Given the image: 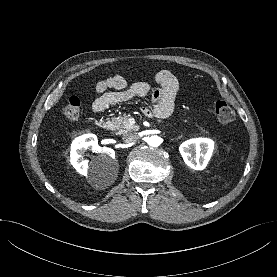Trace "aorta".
I'll list each match as a JSON object with an SVG mask.
<instances>
[{
    "label": "aorta",
    "mask_w": 277,
    "mask_h": 277,
    "mask_svg": "<svg viewBox=\"0 0 277 277\" xmlns=\"http://www.w3.org/2000/svg\"><path fill=\"white\" fill-rule=\"evenodd\" d=\"M148 144L152 147H158L161 144V138L158 136H151L148 140Z\"/></svg>",
    "instance_id": "aorta-1"
}]
</instances>
